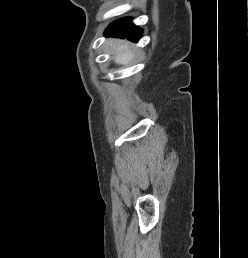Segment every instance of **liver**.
<instances>
[{
  "label": "liver",
  "instance_id": "6515ba94",
  "mask_svg": "<svg viewBox=\"0 0 248 258\" xmlns=\"http://www.w3.org/2000/svg\"><path fill=\"white\" fill-rule=\"evenodd\" d=\"M115 51H116L115 62L117 64H127L132 60L134 56L133 54L134 51L130 49V46L128 44L118 45L115 48Z\"/></svg>",
  "mask_w": 248,
  "mask_h": 258
}]
</instances>
